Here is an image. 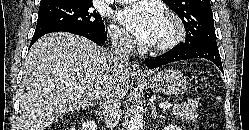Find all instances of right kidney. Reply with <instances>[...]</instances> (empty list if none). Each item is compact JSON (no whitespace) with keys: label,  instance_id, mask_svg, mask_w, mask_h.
<instances>
[{"label":"right kidney","instance_id":"1","mask_svg":"<svg viewBox=\"0 0 249 130\" xmlns=\"http://www.w3.org/2000/svg\"><path fill=\"white\" fill-rule=\"evenodd\" d=\"M96 129H97V124L94 121H86L82 123L81 130H96Z\"/></svg>","mask_w":249,"mask_h":130}]
</instances>
